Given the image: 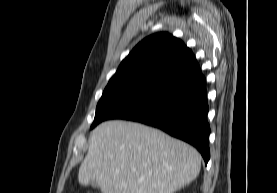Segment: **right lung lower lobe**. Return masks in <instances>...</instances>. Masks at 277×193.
Instances as JSON below:
<instances>
[{
  "label": "right lung lower lobe",
  "mask_w": 277,
  "mask_h": 193,
  "mask_svg": "<svg viewBox=\"0 0 277 193\" xmlns=\"http://www.w3.org/2000/svg\"><path fill=\"white\" fill-rule=\"evenodd\" d=\"M206 79L201 70L171 82L120 111L111 119H126L159 128L196 147L210 159Z\"/></svg>",
  "instance_id": "1"
}]
</instances>
